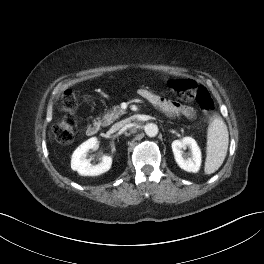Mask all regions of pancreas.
<instances>
[{
  "label": "pancreas",
  "instance_id": "cf45deb5",
  "mask_svg": "<svg viewBox=\"0 0 264 264\" xmlns=\"http://www.w3.org/2000/svg\"><path fill=\"white\" fill-rule=\"evenodd\" d=\"M125 113L119 106H114L102 118V126H108Z\"/></svg>",
  "mask_w": 264,
  "mask_h": 264
}]
</instances>
